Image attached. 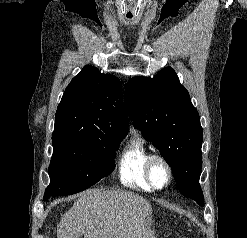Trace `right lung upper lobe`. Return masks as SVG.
Here are the masks:
<instances>
[{"label": "right lung upper lobe", "instance_id": "right-lung-upper-lobe-1", "mask_svg": "<svg viewBox=\"0 0 247 238\" xmlns=\"http://www.w3.org/2000/svg\"><path fill=\"white\" fill-rule=\"evenodd\" d=\"M127 127L120 80L87 65L65 89L52 138L86 135L122 140Z\"/></svg>", "mask_w": 247, "mask_h": 238}]
</instances>
